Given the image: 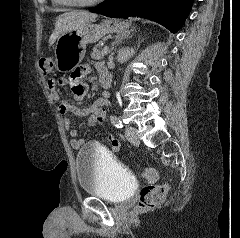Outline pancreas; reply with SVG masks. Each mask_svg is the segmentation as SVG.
Here are the masks:
<instances>
[{"instance_id":"pancreas-1","label":"pancreas","mask_w":240,"mask_h":238,"mask_svg":"<svg viewBox=\"0 0 240 238\" xmlns=\"http://www.w3.org/2000/svg\"><path fill=\"white\" fill-rule=\"evenodd\" d=\"M105 54L102 50L97 49L96 47L93 48V52L91 53V58L94 60H101L103 59Z\"/></svg>"}]
</instances>
